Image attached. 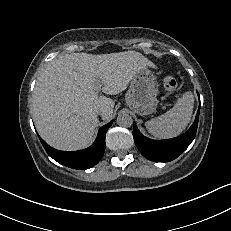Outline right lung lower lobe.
<instances>
[{
    "instance_id": "obj_1",
    "label": "right lung lower lobe",
    "mask_w": 231,
    "mask_h": 231,
    "mask_svg": "<svg viewBox=\"0 0 231 231\" xmlns=\"http://www.w3.org/2000/svg\"><path fill=\"white\" fill-rule=\"evenodd\" d=\"M112 121L99 129L95 142L87 149L80 151H59L47 145L41 138L40 141L48 155L60 164L67 167L85 170L96 165L102 158L105 151V136Z\"/></svg>"
}]
</instances>
